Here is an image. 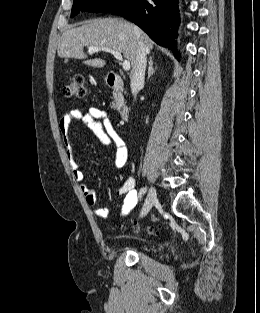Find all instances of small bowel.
<instances>
[{
  "instance_id": "obj_1",
  "label": "small bowel",
  "mask_w": 260,
  "mask_h": 313,
  "mask_svg": "<svg viewBox=\"0 0 260 313\" xmlns=\"http://www.w3.org/2000/svg\"><path fill=\"white\" fill-rule=\"evenodd\" d=\"M80 120L91 128L104 142L113 143L116 146L114 168H122L128 158L126 143L119 134L113 122L106 111L89 108L86 112L79 109H72L67 112L60 120L59 127L62 133L63 141L66 145L67 158L74 180L80 183L79 189L83 194L87 204L93 208L94 214L99 218H105L109 214L106 207L97 205V197L94 191L83 183L84 173L79 164L73 157L70 141L71 125L74 121ZM135 180L132 176L126 178L120 187L117 188L116 194L124 196L122 204V217L128 216L138 203V196L134 190Z\"/></svg>"
}]
</instances>
